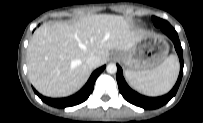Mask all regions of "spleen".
I'll list each match as a JSON object with an SVG mask.
<instances>
[{
	"instance_id": "spleen-1",
	"label": "spleen",
	"mask_w": 203,
	"mask_h": 123,
	"mask_svg": "<svg viewBox=\"0 0 203 123\" xmlns=\"http://www.w3.org/2000/svg\"><path fill=\"white\" fill-rule=\"evenodd\" d=\"M179 72V62L175 55H170L158 67L148 71L125 72L130 85L148 96L167 93L174 85Z\"/></svg>"
}]
</instances>
